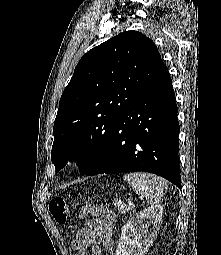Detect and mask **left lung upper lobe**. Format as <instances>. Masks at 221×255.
Returning <instances> with one entry per match:
<instances>
[{
    "mask_svg": "<svg viewBox=\"0 0 221 255\" xmlns=\"http://www.w3.org/2000/svg\"><path fill=\"white\" fill-rule=\"evenodd\" d=\"M164 63L152 40L125 31L87 52L65 88L54 121L56 172L78 161L81 175L102 153L118 117L158 77Z\"/></svg>",
    "mask_w": 221,
    "mask_h": 255,
    "instance_id": "1",
    "label": "left lung upper lobe"
}]
</instances>
